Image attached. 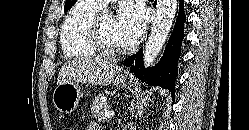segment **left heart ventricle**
<instances>
[{"instance_id":"b2bd125f","label":"left heart ventricle","mask_w":249,"mask_h":130,"mask_svg":"<svg viewBox=\"0 0 249 130\" xmlns=\"http://www.w3.org/2000/svg\"><path fill=\"white\" fill-rule=\"evenodd\" d=\"M102 28L107 41L114 47H123L116 28V18L112 15H103Z\"/></svg>"}]
</instances>
